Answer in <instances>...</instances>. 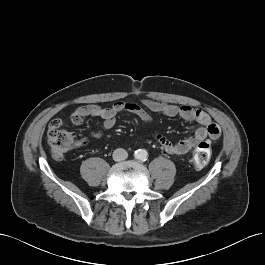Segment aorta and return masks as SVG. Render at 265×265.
I'll list each match as a JSON object with an SVG mask.
<instances>
[{
	"instance_id": "obj_1",
	"label": "aorta",
	"mask_w": 265,
	"mask_h": 265,
	"mask_svg": "<svg viewBox=\"0 0 265 265\" xmlns=\"http://www.w3.org/2000/svg\"><path fill=\"white\" fill-rule=\"evenodd\" d=\"M148 152L145 149H138L135 151V158L138 160L145 161L147 159Z\"/></svg>"
}]
</instances>
